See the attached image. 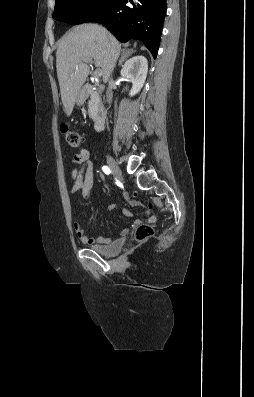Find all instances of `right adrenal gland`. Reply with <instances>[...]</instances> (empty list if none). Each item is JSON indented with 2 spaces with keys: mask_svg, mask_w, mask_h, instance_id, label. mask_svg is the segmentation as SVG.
<instances>
[{
  "mask_svg": "<svg viewBox=\"0 0 254 397\" xmlns=\"http://www.w3.org/2000/svg\"><path fill=\"white\" fill-rule=\"evenodd\" d=\"M134 52H135V51L132 50V49H128V50L123 51L122 57H121V59L119 60V66H121L122 63L125 61V59H126L127 57H129L131 54H133Z\"/></svg>",
  "mask_w": 254,
  "mask_h": 397,
  "instance_id": "obj_1",
  "label": "right adrenal gland"
}]
</instances>
